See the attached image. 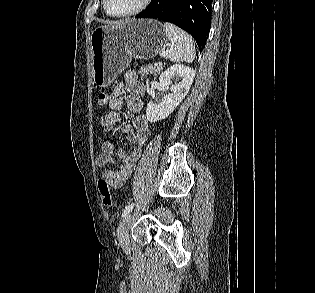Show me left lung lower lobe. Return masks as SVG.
<instances>
[{
  "mask_svg": "<svg viewBox=\"0 0 315 293\" xmlns=\"http://www.w3.org/2000/svg\"><path fill=\"white\" fill-rule=\"evenodd\" d=\"M212 0H151L135 18H156L176 24L196 40L202 51L210 30Z\"/></svg>",
  "mask_w": 315,
  "mask_h": 293,
  "instance_id": "1",
  "label": "left lung lower lobe"
}]
</instances>
